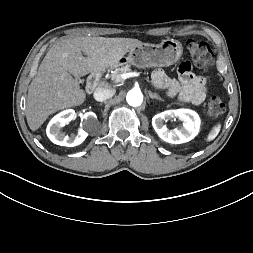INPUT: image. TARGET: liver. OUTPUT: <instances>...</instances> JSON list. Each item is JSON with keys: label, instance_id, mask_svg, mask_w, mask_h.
I'll list each match as a JSON object with an SVG mask.
<instances>
[{"label": "liver", "instance_id": "liver-1", "mask_svg": "<svg viewBox=\"0 0 253 253\" xmlns=\"http://www.w3.org/2000/svg\"><path fill=\"white\" fill-rule=\"evenodd\" d=\"M142 44L132 38L88 36L65 38L55 43L28 88L26 118L29 128L35 131L49 115L84 103L86 94L74 77L104 71Z\"/></svg>", "mask_w": 253, "mask_h": 253}]
</instances>
